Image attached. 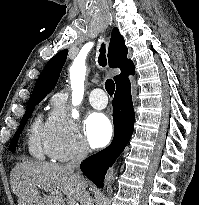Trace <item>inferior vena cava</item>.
Segmentation results:
<instances>
[{
	"label": "inferior vena cava",
	"instance_id": "obj_1",
	"mask_svg": "<svg viewBox=\"0 0 199 205\" xmlns=\"http://www.w3.org/2000/svg\"><path fill=\"white\" fill-rule=\"evenodd\" d=\"M88 152V144L86 143V141L82 140L79 143L72 160L66 165V167L72 171H74V169H78L80 167L81 162L87 157ZM76 174L79 179H82V176L79 172H77ZM81 205H93V201L90 197V194L87 191L83 192Z\"/></svg>",
	"mask_w": 199,
	"mask_h": 205
}]
</instances>
